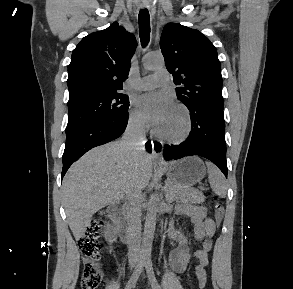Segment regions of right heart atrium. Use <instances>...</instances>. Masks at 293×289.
Here are the masks:
<instances>
[{"mask_svg": "<svg viewBox=\"0 0 293 289\" xmlns=\"http://www.w3.org/2000/svg\"><path fill=\"white\" fill-rule=\"evenodd\" d=\"M128 126L132 131L139 134L145 133L148 129V123L145 117L134 107L129 110Z\"/></svg>", "mask_w": 293, "mask_h": 289, "instance_id": "1", "label": "right heart atrium"}]
</instances>
